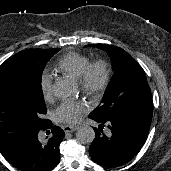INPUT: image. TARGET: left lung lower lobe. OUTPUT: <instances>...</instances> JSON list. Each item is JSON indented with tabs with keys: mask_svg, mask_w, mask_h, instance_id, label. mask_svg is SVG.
<instances>
[{
	"mask_svg": "<svg viewBox=\"0 0 171 171\" xmlns=\"http://www.w3.org/2000/svg\"><path fill=\"white\" fill-rule=\"evenodd\" d=\"M93 120L101 125L99 130L94 128L95 139L89 148V153L95 163L109 168L132 160L145 143L151 124L148 121L122 117ZM104 123L111 130L109 136L101 133Z\"/></svg>",
	"mask_w": 171,
	"mask_h": 171,
	"instance_id": "obj_1",
	"label": "left lung lower lobe"
}]
</instances>
